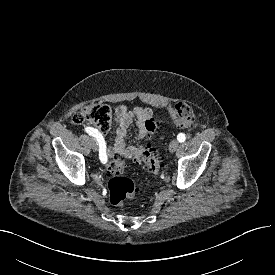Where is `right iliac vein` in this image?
<instances>
[{"label":"right iliac vein","mask_w":275,"mask_h":275,"mask_svg":"<svg viewBox=\"0 0 275 275\" xmlns=\"http://www.w3.org/2000/svg\"><path fill=\"white\" fill-rule=\"evenodd\" d=\"M91 148L94 152L98 150V144L95 140L91 141Z\"/></svg>","instance_id":"1"}]
</instances>
